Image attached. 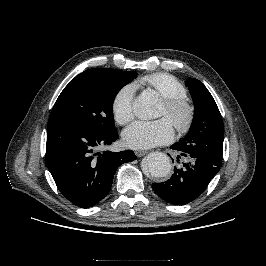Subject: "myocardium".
Listing matches in <instances>:
<instances>
[{"instance_id": "myocardium-1", "label": "myocardium", "mask_w": 266, "mask_h": 266, "mask_svg": "<svg viewBox=\"0 0 266 266\" xmlns=\"http://www.w3.org/2000/svg\"><path fill=\"white\" fill-rule=\"evenodd\" d=\"M167 118L180 132H187L195 119V106L187 97L164 98Z\"/></svg>"}]
</instances>
